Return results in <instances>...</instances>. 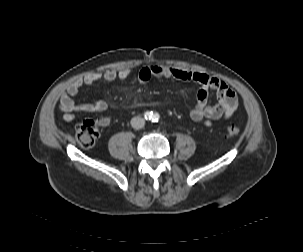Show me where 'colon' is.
<instances>
[{
	"label": "colon",
	"mask_w": 303,
	"mask_h": 252,
	"mask_svg": "<svg viewBox=\"0 0 303 252\" xmlns=\"http://www.w3.org/2000/svg\"><path fill=\"white\" fill-rule=\"evenodd\" d=\"M240 129L235 125L226 127L225 136L228 138L235 137L239 134ZM77 140L84 148H90L95 145L99 138V130L93 120H84L76 126Z\"/></svg>",
	"instance_id": "colon-1"
}]
</instances>
